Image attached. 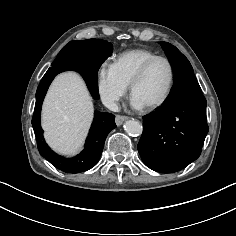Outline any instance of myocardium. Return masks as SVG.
<instances>
[{
	"label": "myocardium",
	"instance_id": "myocardium-1",
	"mask_svg": "<svg viewBox=\"0 0 236 236\" xmlns=\"http://www.w3.org/2000/svg\"><path fill=\"white\" fill-rule=\"evenodd\" d=\"M157 61H164L168 65L169 71H170L169 83H168L165 93L162 95V97L160 99H158L157 101L152 102L150 104L144 105V108L147 110L157 109V108L161 107L162 105H164L167 102V100L169 99V97L172 93L173 87H174V83H175V69H174L173 63L167 57H164V56L153 57V58L149 59L148 61H146L141 66V68L138 70V72L136 73V75L134 76V78L132 79V81L130 83V93H131V96L133 97L136 87L143 80V78L147 74L150 67L154 63H156Z\"/></svg>",
	"mask_w": 236,
	"mask_h": 236
}]
</instances>
